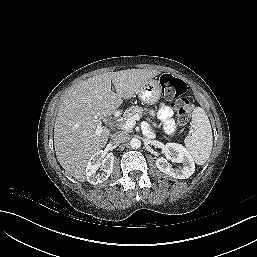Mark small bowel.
<instances>
[{"label": "small bowel", "mask_w": 257, "mask_h": 257, "mask_svg": "<svg viewBox=\"0 0 257 257\" xmlns=\"http://www.w3.org/2000/svg\"><path fill=\"white\" fill-rule=\"evenodd\" d=\"M158 116L163 121L167 132H172L174 130V123L170 118L171 109L167 105L162 104L158 110Z\"/></svg>", "instance_id": "small-bowel-1"}]
</instances>
